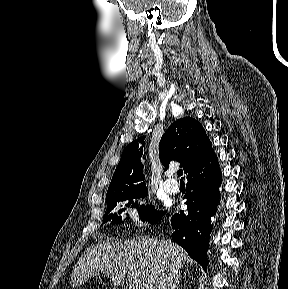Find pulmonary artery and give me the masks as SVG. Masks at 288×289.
I'll return each instance as SVG.
<instances>
[{"label": "pulmonary artery", "mask_w": 288, "mask_h": 289, "mask_svg": "<svg viewBox=\"0 0 288 289\" xmlns=\"http://www.w3.org/2000/svg\"><path fill=\"white\" fill-rule=\"evenodd\" d=\"M163 188L166 192L174 194L176 192H178L179 190V184L178 182L173 179V178H167L164 182H163Z\"/></svg>", "instance_id": "pulmonary-artery-1"}]
</instances>
